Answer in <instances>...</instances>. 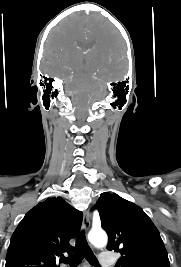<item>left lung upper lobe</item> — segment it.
Listing matches in <instances>:
<instances>
[{
    "label": "left lung upper lobe",
    "mask_w": 181,
    "mask_h": 267,
    "mask_svg": "<svg viewBox=\"0 0 181 267\" xmlns=\"http://www.w3.org/2000/svg\"><path fill=\"white\" fill-rule=\"evenodd\" d=\"M94 209L109 235L107 249L122 255L116 267H170L159 231L139 206L105 192Z\"/></svg>",
    "instance_id": "left-lung-upper-lobe-1"
}]
</instances>
